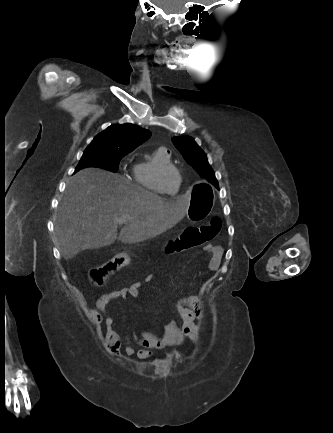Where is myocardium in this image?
Returning a JSON list of instances; mask_svg holds the SVG:
<instances>
[{
    "mask_svg": "<svg viewBox=\"0 0 333 433\" xmlns=\"http://www.w3.org/2000/svg\"><path fill=\"white\" fill-rule=\"evenodd\" d=\"M168 171H174L177 174L179 181H180V170L173 164L163 165V166L159 167L157 170V173H156V181H157V184L159 185L160 189L163 191V193L165 195L176 196L178 191H175L174 193H169L165 189L164 184H163V177L166 174V172H168ZM176 190H178V186H177Z\"/></svg>",
    "mask_w": 333,
    "mask_h": 433,
    "instance_id": "myocardium-1",
    "label": "myocardium"
}]
</instances>
